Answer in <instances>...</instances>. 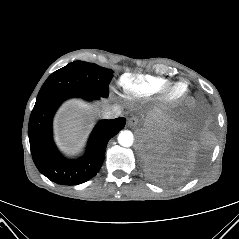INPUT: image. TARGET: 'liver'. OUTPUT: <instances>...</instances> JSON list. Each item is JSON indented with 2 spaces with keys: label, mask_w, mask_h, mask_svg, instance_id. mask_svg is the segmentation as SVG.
Returning <instances> with one entry per match:
<instances>
[{
  "label": "liver",
  "mask_w": 239,
  "mask_h": 239,
  "mask_svg": "<svg viewBox=\"0 0 239 239\" xmlns=\"http://www.w3.org/2000/svg\"><path fill=\"white\" fill-rule=\"evenodd\" d=\"M109 105L108 99L98 103L99 109ZM92 107L82 101L70 100L63 104L55 117L56 141L66 152H75L88 134L92 120Z\"/></svg>",
  "instance_id": "obj_1"
}]
</instances>
